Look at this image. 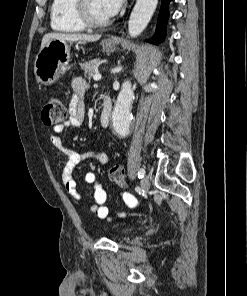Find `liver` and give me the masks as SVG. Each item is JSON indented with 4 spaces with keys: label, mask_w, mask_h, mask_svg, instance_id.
Instances as JSON below:
<instances>
[{
    "label": "liver",
    "mask_w": 247,
    "mask_h": 296,
    "mask_svg": "<svg viewBox=\"0 0 247 296\" xmlns=\"http://www.w3.org/2000/svg\"><path fill=\"white\" fill-rule=\"evenodd\" d=\"M101 35H86V34H69V33H47L43 36L41 48H43L51 40L61 41H87L95 42L100 39Z\"/></svg>",
    "instance_id": "1"
}]
</instances>
